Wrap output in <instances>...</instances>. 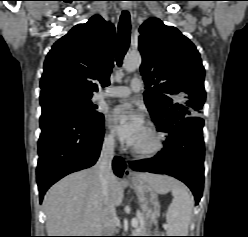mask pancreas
I'll use <instances>...</instances> for the list:
<instances>
[{
	"label": "pancreas",
	"mask_w": 248,
	"mask_h": 237,
	"mask_svg": "<svg viewBox=\"0 0 248 237\" xmlns=\"http://www.w3.org/2000/svg\"><path fill=\"white\" fill-rule=\"evenodd\" d=\"M139 221V225L135 228L134 233H136V235H146L147 233V223L146 220L144 218V216L142 215L141 217L137 218Z\"/></svg>",
	"instance_id": "pancreas-1"
}]
</instances>
